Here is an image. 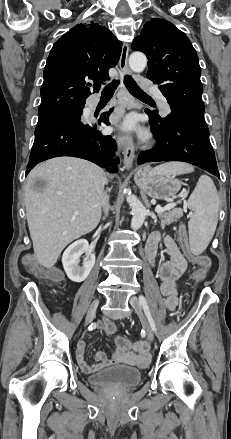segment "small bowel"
Returning a JSON list of instances; mask_svg holds the SVG:
<instances>
[{"instance_id":"1","label":"small bowel","mask_w":231,"mask_h":439,"mask_svg":"<svg viewBox=\"0 0 231 439\" xmlns=\"http://www.w3.org/2000/svg\"><path fill=\"white\" fill-rule=\"evenodd\" d=\"M160 244L164 245L169 260L160 264L157 273L161 280V292L164 296L165 304L170 311H174L178 304L177 281L187 268V259L180 246L172 237L162 235L159 232H153L147 241L145 249L146 257L151 264L155 262ZM98 328L107 335H114L116 331L115 324L109 319L102 320ZM114 341L116 349L112 357L108 358L105 353L99 352L95 356L97 363L94 365L87 363L85 359V344L80 343L77 347L76 357L81 369L85 373H93L101 368L115 364L143 367L149 362L150 357L146 342H132L118 335L115 336Z\"/></svg>"}]
</instances>
